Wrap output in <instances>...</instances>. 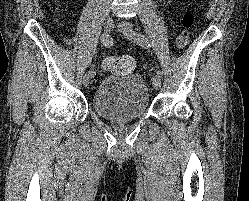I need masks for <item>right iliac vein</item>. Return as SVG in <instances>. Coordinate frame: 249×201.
I'll list each match as a JSON object with an SVG mask.
<instances>
[{
  "mask_svg": "<svg viewBox=\"0 0 249 201\" xmlns=\"http://www.w3.org/2000/svg\"><path fill=\"white\" fill-rule=\"evenodd\" d=\"M114 27V22L112 20L111 17H107L106 21H105V25H104V30L105 32H110ZM90 74L89 73H86L83 77V85L86 87L88 86L89 82H90Z\"/></svg>",
  "mask_w": 249,
  "mask_h": 201,
  "instance_id": "63e3f726",
  "label": "right iliac vein"
}]
</instances>
